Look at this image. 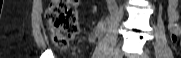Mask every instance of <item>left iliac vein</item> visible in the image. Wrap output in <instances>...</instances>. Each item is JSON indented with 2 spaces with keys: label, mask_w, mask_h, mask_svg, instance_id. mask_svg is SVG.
I'll return each instance as SVG.
<instances>
[{
  "label": "left iliac vein",
  "mask_w": 181,
  "mask_h": 58,
  "mask_svg": "<svg viewBox=\"0 0 181 58\" xmlns=\"http://www.w3.org/2000/svg\"><path fill=\"white\" fill-rule=\"evenodd\" d=\"M140 58H147V56L146 55H143L142 57H140Z\"/></svg>",
  "instance_id": "1"
}]
</instances>
